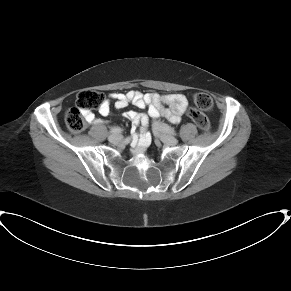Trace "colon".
Returning <instances> with one entry per match:
<instances>
[{
  "mask_svg": "<svg viewBox=\"0 0 291 291\" xmlns=\"http://www.w3.org/2000/svg\"><path fill=\"white\" fill-rule=\"evenodd\" d=\"M193 99L196 106L201 110L209 111L213 108V100L207 93L198 92L194 95ZM102 102L103 94L100 91L94 89L81 90L77 94L75 107L69 109L65 113L64 120L67 128L73 133L82 131L85 127L83 111L99 108ZM188 113L200 129L204 131L210 129L209 120L202 112L189 110Z\"/></svg>",
  "mask_w": 291,
  "mask_h": 291,
  "instance_id": "obj_1",
  "label": "colon"
}]
</instances>
